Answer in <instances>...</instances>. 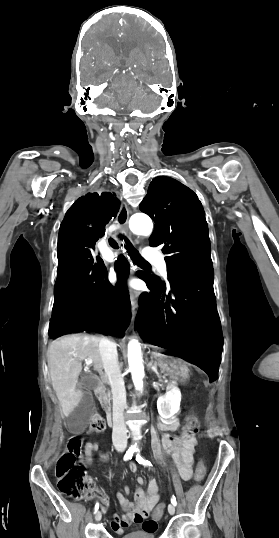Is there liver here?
I'll list each match as a JSON object with an SVG mask.
<instances>
[{
    "label": "liver",
    "mask_w": 279,
    "mask_h": 538,
    "mask_svg": "<svg viewBox=\"0 0 279 538\" xmlns=\"http://www.w3.org/2000/svg\"><path fill=\"white\" fill-rule=\"evenodd\" d=\"M102 338L71 334L62 336L49 344L47 362L53 390L59 400L63 416H69L77 408L81 390H76L84 358L93 360V368L101 372L103 362L99 350Z\"/></svg>",
    "instance_id": "6515ba94"
}]
</instances>
